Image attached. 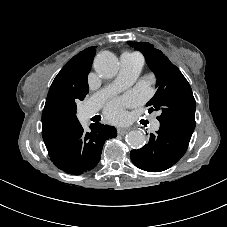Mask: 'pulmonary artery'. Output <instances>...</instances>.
Here are the masks:
<instances>
[{"mask_svg":"<svg viewBox=\"0 0 227 227\" xmlns=\"http://www.w3.org/2000/svg\"><path fill=\"white\" fill-rule=\"evenodd\" d=\"M143 66V59L139 55L123 54L121 56V69L118 77L106 89L98 92L92 100L91 106L85 110V116L90 117L96 107L109 95L114 94L128 86H130L139 76ZM160 123L154 119L152 128L158 130Z\"/></svg>","mask_w":227,"mask_h":227,"instance_id":"obj_1","label":"pulmonary artery"}]
</instances>
